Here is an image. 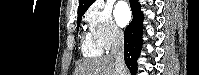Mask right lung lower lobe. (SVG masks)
Returning <instances> with one entry per match:
<instances>
[{
    "instance_id": "98d812e1",
    "label": "right lung lower lobe",
    "mask_w": 199,
    "mask_h": 75,
    "mask_svg": "<svg viewBox=\"0 0 199 75\" xmlns=\"http://www.w3.org/2000/svg\"><path fill=\"white\" fill-rule=\"evenodd\" d=\"M130 7L133 13V20L124 32V59L127 67L131 72V75H135L137 72L136 61L140 55L142 47L143 14L140 11V4L137 0H130Z\"/></svg>"
}]
</instances>
